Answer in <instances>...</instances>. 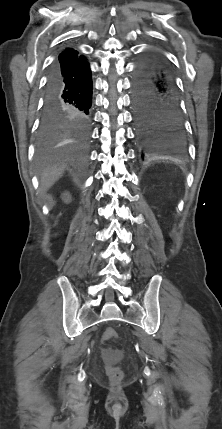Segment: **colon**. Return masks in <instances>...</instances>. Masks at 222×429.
<instances>
[{
	"label": "colon",
	"instance_id": "5ec220e1",
	"mask_svg": "<svg viewBox=\"0 0 222 429\" xmlns=\"http://www.w3.org/2000/svg\"><path fill=\"white\" fill-rule=\"evenodd\" d=\"M116 337H117L116 332L113 329H108L104 332L102 336V341L104 343H108L116 339ZM107 375L113 383H119L124 376L123 371L118 366H115V365L107 366Z\"/></svg>",
	"mask_w": 222,
	"mask_h": 429
}]
</instances>
